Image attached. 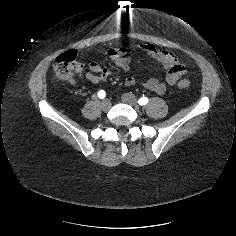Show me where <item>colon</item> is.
I'll use <instances>...</instances> for the list:
<instances>
[{
  "mask_svg": "<svg viewBox=\"0 0 236 236\" xmlns=\"http://www.w3.org/2000/svg\"><path fill=\"white\" fill-rule=\"evenodd\" d=\"M83 64L78 61L77 53L75 51H67L58 56L54 62V77L59 81H74V79L82 73ZM190 86L187 79L179 81L178 87L186 89Z\"/></svg>",
  "mask_w": 236,
  "mask_h": 236,
  "instance_id": "5ec220e1",
  "label": "colon"
}]
</instances>
